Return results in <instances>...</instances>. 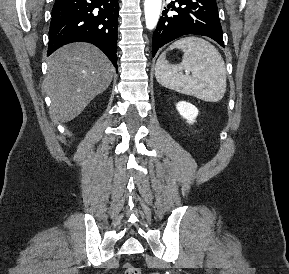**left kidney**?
I'll return each mask as SVG.
<instances>
[{
	"label": "left kidney",
	"mask_w": 289,
	"mask_h": 274,
	"mask_svg": "<svg viewBox=\"0 0 289 274\" xmlns=\"http://www.w3.org/2000/svg\"><path fill=\"white\" fill-rule=\"evenodd\" d=\"M176 108L180 115L187 119V122L189 124H192L195 122V119L198 115V109L192 105L191 103L185 102V101H180L177 103Z\"/></svg>",
	"instance_id": "5707ae66"
}]
</instances>
